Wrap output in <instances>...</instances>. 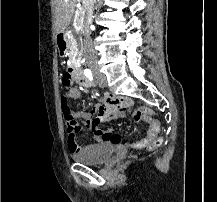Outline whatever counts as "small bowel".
I'll list each match as a JSON object with an SVG mask.
<instances>
[{
    "instance_id": "c3829d8e",
    "label": "small bowel",
    "mask_w": 217,
    "mask_h": 202,
    "mask_svg": "<svg viewBox=\"0 0 217 202\" xmlns=\"http://www.w3.org/2000/svg\"><path fill=\"white\" fill-rule=\"evenodd\" d=\"M65 90H68L67 97L72 100H80L82 91L77 85H65ZM110 95H104L101 100L93 105L90 111H76L73 113L75 118L83 119L86 126L91 130L95 141L103 140L113 144H122V147L142 149L154 142L160 132V122L154 118L142 121L147 125V131L144 138L136 142H124L122 138L113 133L111 130L101 128V124L108 121H117V116L109 113L110 109H129L132 105L130 101H110ZM120 116V115H118ZM136 116V114H135ZM83 127H76L75 131H69V141H80V132H83ZM70 147H81V142H70ZM75 152V151H73Z\"/></svg>"
}]
</instances>
